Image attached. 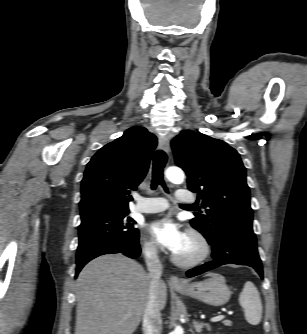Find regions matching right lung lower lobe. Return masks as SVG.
Here are the masks:
<instances>
[{
  "mask_svg": "<svg viewBox=\"0 0 307 334\" xmlns=\"http://www.w3.org/2000/svg\"><path fill=\"white\" fill-rule=\"evenodd\" d=\"M140 251H141V249H140L138 241L135 244L130 245V246H126V247H121V248H117V249H103V250H100L98 252H95V253L85 257L81 261L77 262L75 277H77L78 273L83 268V266L87 262H89L90 260L94 259L95 257H98L100 255H104V254L123 253L124 255H126L130 258H137L140 255Z\"/></svg>",
  "mask_w": 307,
  "mask_h": 334,
  "instance_id": "1",
  "label": "right lung lower lobe"
}]
</instances>
